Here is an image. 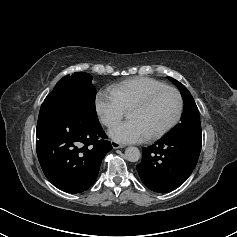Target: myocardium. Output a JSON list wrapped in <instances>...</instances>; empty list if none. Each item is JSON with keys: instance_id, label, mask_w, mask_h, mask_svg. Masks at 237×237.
Returning a JSON list of instances; mask_svg holds the SVG:
<instances>
[{"instance_id": "1", "label": "myocardium", "mask_w": 237, "mask_h": 237, "mask_svg": "<svg viewBox=\"0 0 237 237\" xmlns=\"http://www.w3.org/2000/svg\"><path fill=\"white\" fill-rule=\"evenodd\" d=\"M166 91L173 92L176 95L177 100H178L177 111H176L174 117L172 118V120L166 126H164L162 129H160L156 133L148 136V140H150V141L157 140V139L161 138L162 136H164L180 120L182 112H183V107H184V101H183V97H182L181 93L179 92L178 89L171 87V86L161 87V88H158V89H155V90L149 92L144 97H142L141 99L136 101L134 104H132V106L130 107V109L131 108H145V107L149 106L158 95H160L161 93L166 92Z\"/></svg>"}]
</instances>
